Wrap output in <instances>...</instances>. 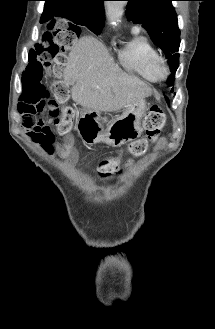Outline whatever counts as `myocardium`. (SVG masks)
I'll return each instance as SVG.
<instances>
[{"label": "myocardium", "mask_w": 215, "mask_h": 329, "mask_svg": "<svg viewBox=\"0 0 215 329\" xmlns=\"http://www.w3.org/2000/svg\"><path fill=\"white\" fill-rule=\"evenodd\" d=\"M158 69L161 77L167 76L169 74V67L163 57H161L159 60Z\"/></svg>", "instance_id": "obj_1"}]
</instances>
